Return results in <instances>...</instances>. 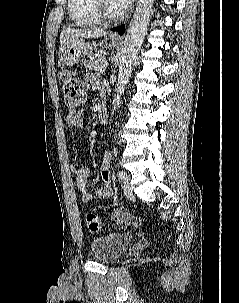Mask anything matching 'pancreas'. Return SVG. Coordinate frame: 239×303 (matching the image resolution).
<instances>
[{
	"label": "pancreas",
	"mask_w": 239,
	"mask_h": 303,
	"mask_svg": "<svg viewBox=\"0 0 239 303\" xmlns=\"http://www.w3.org/2000/svg\"><path fill=\"white\" fill-rule=\"evenodd\" d=\"M105 60L106 58L104 52L98 51L89 60L84 61V66L91 71L103 72L105 67H103L101 63Z\"/></svg>",
	"instance_id": "1"
}]
</instances>
